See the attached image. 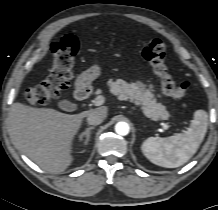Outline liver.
Returning a JSON list of instances; mask_svg holds the SVG:
<instances>
[{
	"label": "liver",
	"instance_id": "liver-1",
	"mask_svg": "<svg viewBox=\"0 0 218 210\" xmlns=\"http://www.w3.org/2000/svg\"><path fill=\"white\" fill-rule=\"evenodd\" d=\"M108 108L65 114L50 108H33L15 103L10 113L17 144L39 167L51 173L67 169L72 161V143L82 121L92 112L105 118Z\"/></svg>",
	"mask_w": 218,
	"mask_h": 210
}]
</instances>
